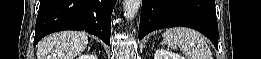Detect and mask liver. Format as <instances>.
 <instances>
[{
	"instance_id": "liver-1",
	"label": "liver",
	"mask_w": 261,
	"mask_h": 59,
	"mask_svg": "<svg viewBox=\"0 0 261 59\" xmlns=\"http://www.w3.org/2000/svg\"><path fill=\"white\" fill-rule=\"evenodd\" d=\"M88 37L84 32L63 31L43 38L37 45V59H74L84 51Z\"/></svg>"
}]
</instances>
